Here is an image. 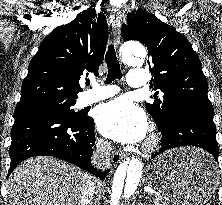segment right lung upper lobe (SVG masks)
Wrapping results in <instances>:
<instances>
[{
    "label": "right lung upper lobe",
    "mask_w": 222,
    "mask_h": 205,
    "mask_svg": "<svg viewBox=\"0 0 222 205\" xmlns=\"http://www.w3.org/2000/svg\"><path fill=\"white\" fill-rule=\"evenodd\" d=\"M107 40L106 18L95 9L55 28L29 64L15 110L36 108L48 101H75L80 78L87 71L98 74Z\"/></svg>",
    "instance_id": "obj_1"
}]
</instances>
